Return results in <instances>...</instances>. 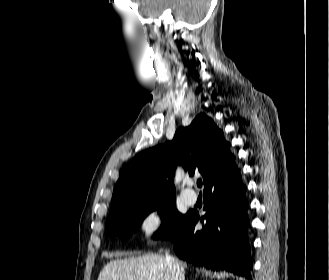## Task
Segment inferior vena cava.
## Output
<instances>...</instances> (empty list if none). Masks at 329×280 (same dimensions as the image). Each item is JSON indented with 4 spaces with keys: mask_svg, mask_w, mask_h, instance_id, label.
Segmentation results:
<instances>
[{
    "mask_svg": "<svg viewBox=\"0 0 329 280\" xmlns=\"http://www.w3.org/2000/svg\"><path fill=\"white\" fill-rule=\"evenodd\" d=\"M165 259L171 270L172 280H184L183 269L177 259H174L166 252Z\"/></svg>",
    "mask_w": 329,
    "mask_h": 280,
    "instance_id": "inferior-vena-cava-1",
    "label": "inferior vena cava"
}]
</instances>
